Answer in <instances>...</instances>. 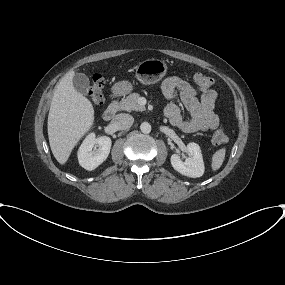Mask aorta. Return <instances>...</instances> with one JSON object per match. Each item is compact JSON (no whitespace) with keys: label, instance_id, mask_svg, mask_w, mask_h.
I'll use <instances>...</instances> for the list:
<instances>
[{"label":"aorta","instance_id":"obj_1","mask_svg":"<svg viewBox=\"0 0 285 285\" xmlns=\"http://www.w3.org/2000/svg\"><path fill=\"white\" fill-rule=\"evenodd\" d=\"M140 130L144 134H148L151 132V125L148 122H143L140 125Z\"/></svg>","mask_w":285,"mask_h":285}]
</instances>
